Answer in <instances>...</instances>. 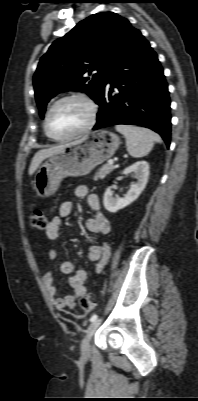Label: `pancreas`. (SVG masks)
<instances>
[{"instance_id": "pancreas-1", "label": "pancreas", "mask_w": 198, "mask_h": 401, "mask_svg": "<svg viewBox=\"0 0 198 401\" xmlns=\"http://www.w3.org/2000/svg\"><path fill=\"white\" fill-rule=\"evenodd\" d=\"M115 169L113 164H105L103 165L95 174L94 181H98L99 179H104L106 175L112 172Z\"/></svg>"}]
</instances>
